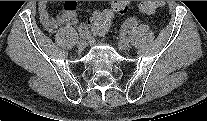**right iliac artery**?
Masks as SVG:
<instances>
[{
	"mask_svg": "<svg viewBox=\"0 0 207 121\" xmlns=\"http://www.w3.org/2000/svg\"><path fill=\"white\" fill-rule=\"evenodd\" d=\"M79 34H80V37L83 38V39H87L88 36H89V32H88V29L85 25H81L80 28H79Z\"/></svg>",
	"mask_w": 207,
	"mask_h": 121,
	"instance_id": "1",
	"label": "right iliac artery"
}]
</instances>
